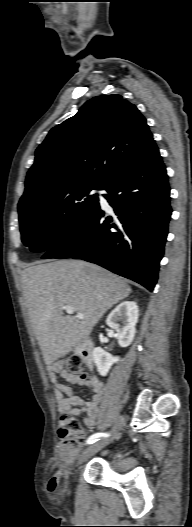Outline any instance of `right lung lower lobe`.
Wrapping results in <instances>:
<instances>
[{"mask_svg": "<svg viewBox=\"0 0 192 527\" xmlns=\"http://www.w3.org/2000/svg\"><path fill=\"white\" fill-rule=\"evenodd\" d=\"M113 208L99 202L73 233L43 259L75 258L98 264L152 291L171 216L168 177L152 140L101 187Z\"/></svg>", "mask_w": 192, "mask_h": 527, "instance_id": "98d812e1", "label": "right lung lower lobe"}]
</instances>
